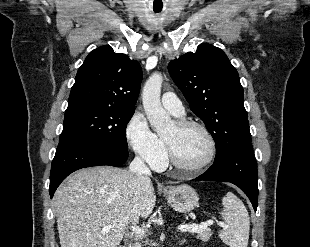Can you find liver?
Returning a JSON list of instances; mask_svg holds the SVG:
<instances>
[{
  "mask_svg": "<svg viewBox=\"0 0 310 247\" xmlns=\"http://www.w3.org/2000/svg\"><path fill=\"white\" fill-rule=\"evenodd\" d=\"M53 201L61 247H117L127 227L152 213L156 196L147 175L96 166L67 178Z\"/></svg>",
  "mask_w": 310,
  "mask_h": 247,
  "instance_id": "liver-1",
  "label": "liver"
}]
</instances>
